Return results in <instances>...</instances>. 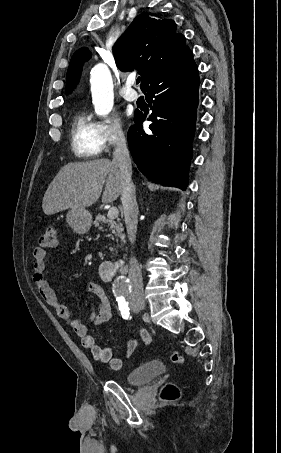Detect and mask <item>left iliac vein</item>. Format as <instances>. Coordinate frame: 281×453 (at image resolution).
<instances>
[{
    "instance_id": "obj_1",
    "label": "left iliac vein",
    "mask_w": 281,
    "mask_h": 453,
    "mask_svg": "<svg viewBox=\"0 0 281 453\" xmlns=\"http://www.w3.org/2000/svg\"><path fill=\"white\" fill-rule=\"evenodd\" d=\"M132 309H133V311H132L133 313H140V312H141V311H140V308H137L136 305H133V306H132Z\"/></svg>"
}]
</instances>
